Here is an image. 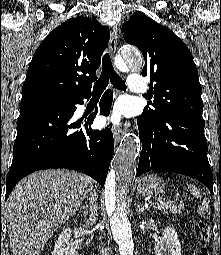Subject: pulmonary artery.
Listing matches in <instances>:
<instances>
[{"mask_svg": "<svg viewBox=\"0 0 221 255\" xmlns=\"http://www.w3.org/2000/svg\"><path fill=\"white\" fill-rule=\"evenodd\" d=\"M128 89L135 93H145L147 84L140 74H131L128 77Z\"/></svg>", "mask_w": 221, "mask_h": 255, "instance_id": "pulmonary-artery-1", "label": "pulmonary artery"}]
</instances>
